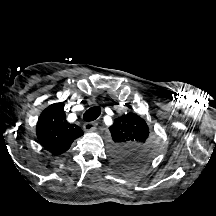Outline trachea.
<instances>
[{"mask_svg": "<svg viewBox=\"0 0 216 216\" xmlns=\"http://www.w3.org/2000/svg\"><path fill=\"white\" fill-rule=\"evenodd\" d=\"M101 114V109L100 107L98 106H95V107H91L90 109H88L84 115H83V119L86 121V122H91V121H94L96 120L99 115Z\"/></svg>", "mask_w": 216, "mask_h": 216, "instance_id": "obj_1", "label": "trachea"}]
</instances>
